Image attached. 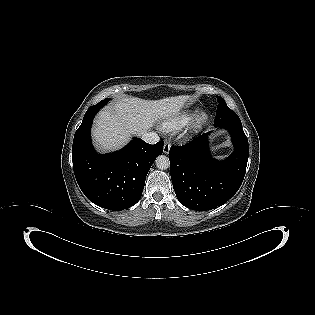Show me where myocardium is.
Here are the masks:
<instances>
[{"label": "myocardium", "mask_w": 315, "mask_h": 315, "mask_svg": "<svg viewBox=\"0 0 315 315\" xmlns=\"http://www.w3.org/2000/svg\"><path fill=\"white\" fill-rule=\"evenodd\" d=\"M208 119L209 115L206 111H200L197 113L189 127L190 135L198 134L206 126Z\"/></svg>", "instance_id": "f54148a6"}]
</instances>
